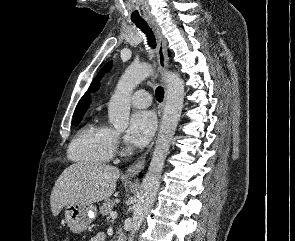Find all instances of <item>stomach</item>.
<instances>
[{
    "label": "stomach",
    "instance_id": "obj_1",
    "mask_svg": "<svg viewBox=\"0 0 295 241\" xmlns=\"http://www.w3.org/2000/svg\"><path fill=\"white\" fill-rule=\"evenodd\" d=\"M97 216L93 204H69L65 208V222L75 233L84 232Z\"/></svg>",
    "mask_w": 295,
    "mask_h": 241
}]
</instances>
